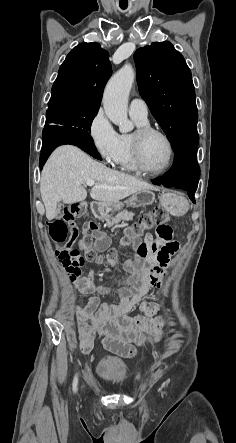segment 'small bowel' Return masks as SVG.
Returning a JSON list of instances; mask_svg holds the SVG:
<instances>
[{"instance_id":"c3829d8e","label":"small bowel","mask_w":236,"mask_h":443,"mask_svg":"<svg viewBox=\"0 0 236 443\" xmlns=\"http://www.w3.org/2000/svg\"><path fill=\"white\" fill-rule=\"evenodd\" d=\"M138 252L141 246L148 248L149 254L145 259L128 261L125 264V271L139 263L140 267L133 273L115 280L116 283H125L127 287L118 290L120 300L114 305H102L98 308L99 300L96 296H91L87 306L82 309L75 307L77 318V331L79 339V349L82 353H89L95 344L96 329H99L103 336V344L124 357L132 356L135 347L158 341L163 336V323L159 316V305L145 299L150 287H161L163 277L170 265V257L176 252L166 249L169 242L163 240L156 234L145 235L140 241L134 240ZM107 241L100 239L93 248L101 251L106 247ZM67 280L73 288L85 295L100 293L102 295L112 294L109 286L100 285L93 280L91 271L75 269L60 261ZM138 305L142 312L141 316L130 318L127 313L134 306ZM95 311L93 315L90 312ZM89 317V321L85 318Z\"/></svg>"}]
</instances>
